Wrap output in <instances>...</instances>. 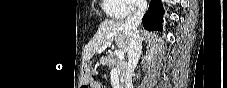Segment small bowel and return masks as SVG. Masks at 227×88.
I'll list each match as a JSON object with an SVG mask.
<instances>
[{"mask_svg": "<svg viewBox=\"0 0 227 88\" xmlns=\"http://www.w3.org/2000/svg\"><path fill=\"white\" fill-rule=\"evenodd\" d=\"M93 87H95V88H102L103 86L100 83H95Z\"/></svg>", "mask_w": 227, "mask_h": 88, "instance_id": "c3829d8e", "label": "small bowel"}]
</instances>
